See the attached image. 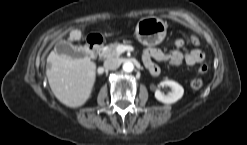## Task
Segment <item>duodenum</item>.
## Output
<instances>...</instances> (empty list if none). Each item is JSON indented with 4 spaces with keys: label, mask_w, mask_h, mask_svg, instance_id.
<instances>
[{
    "label": "duodenum",
    "mask_w": 247,
    "mask_h": 145,
    "mask_svg": "<svg viewBox=\"0 0 247 145\" xmlns=\"http://www.w3.org/2000/svg\"><path fill=\"white\" fill-rule=\"evenodd\" d=\"M102 38L100 36H93L88 40L86 51L90 56H96L99 52V48L102 45Z\"/></svg>",
    "instance_id": "duodenum-1"
}]
</instances>
